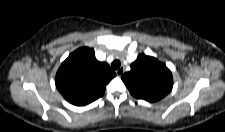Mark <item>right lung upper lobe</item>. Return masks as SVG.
Segmentation results:
<instances>
[{
	"label": "right lung upper lobe",
	"instance_id": "1",
	"mask_svg": "<svg viewBox=\"0 0 225 132\" xmlns=\"http://www.w3.org/2000/svg\"><path fill=\"white\" fill-rule=\"evenodd\" d=\"M116 74L105 62L95 58L92 48L82 47L71 53L56 74V87L62 96L76 106L100 98Z\"/></svg>",
	"mask_w": 225,
	"mask_h": 132
}]
</instances>
